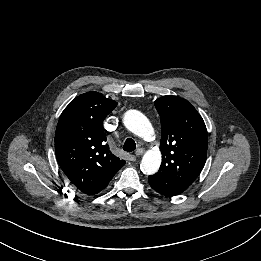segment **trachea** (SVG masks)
Instances as JSON below:
<instances>
[{"label":"trachea","mask_w":261,"mask_h":261,"mask_svg":"<svg viewBox=\"0 0 261 261\" xmlns=\"http://www.w3.org/2000/svg\"><path fill=\"white\" fill-rule=\"evenodd\" d=\"M123 149L127 152H132L136 149V143L132 138L126 139Z\"/></svg>","instance_id":"trachea-1"}]
</instances>
